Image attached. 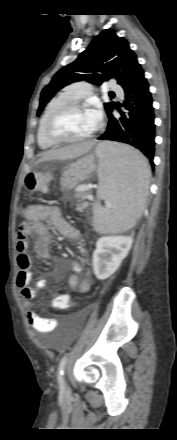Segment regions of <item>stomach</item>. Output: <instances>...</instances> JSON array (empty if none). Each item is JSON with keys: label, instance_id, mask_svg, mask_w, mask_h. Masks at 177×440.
Masks as SVG:
<instances>
[{"label": "stomach", "instance_id": "obj_1", "mask_svg": "<svg viewBox=\"0 0 177 440\" xmlns=\"http://www.w3.org/2000/svg\"><path fill=\"white\" fill-rule=\"evenodd\" d=\"M99 170V160L88 154L66 165L62 171L60 185L62 190H72L83 181L91 178Z\"/></svg>", "mask_w": 177, "mask_h": 440}]
</instances>
